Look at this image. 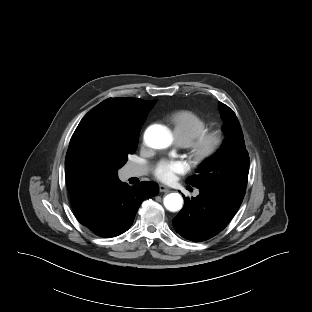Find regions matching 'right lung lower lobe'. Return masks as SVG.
<instances>
[{
  "instance_id": "98d812e1",
  "label": "right lung lower lobe",
  "mask_w": 312,
  "mask_h": 312,
  "mask_svg": "<svg viewBox=\"0 0 312 312\" xmlns=\"http://www.w3.org/2000/svg\"><path fill=\"white\" fill-rule=\"evenodd\" d=\"M158 192L159 187L154 182L145 181L139 187H129L118 180L75 215L96 235L118 236L130 228L142 201Z\"/></svg>"
}]
</instances>
